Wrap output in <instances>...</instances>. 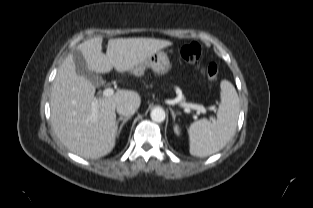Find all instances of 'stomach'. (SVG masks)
<instances>
[{
  "instance_id": "0dacf381",
  "label": "stomach",
  "mask_w": 313,
  "mask_h": 208,
  "mask_svg": "<svg viewBox=\"0 0 313 208\" xmlns=\"http://www.w3.org/2000/svg\"><path fill=\"white\" fill-rule=\"evenodd\" d=\"M146 68H151L157 74L165 75L170 71V60L165 52L157 51L143 62L136 65L131 72L135 76H142L144 75Z\"/></svg>"
}]
</instances>
